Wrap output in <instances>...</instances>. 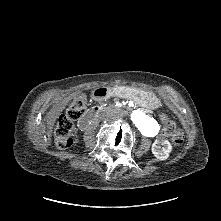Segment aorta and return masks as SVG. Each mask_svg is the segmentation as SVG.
I'll return each instance as SVG.
<instances>
[{
  "instance_id": "obj_1",
  "label": "aorta",
  "mask_w": 221,
  "mask_h": 221,
  "mask_svg": "<svg viewBox=\"0 0 221 221\" xmlns=\"http://www.w3.org/2000/svg\"><path fill=\"white\" fill-rule=\"evenodd\" d=\"M131 120L145 136H154L158 133L159 126L156 121L150 119L139 110H133L130 114Z\"/></svg>"
}]
</instances>
